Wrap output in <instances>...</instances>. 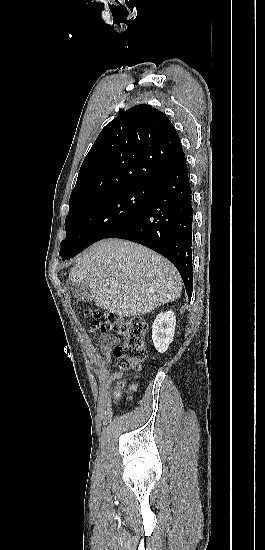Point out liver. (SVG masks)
Returning a JSON list of instances; mask_svg holds the SVG:
<instances>
[{
	"instance_id": "6515ba94",
	"label": "liver",
	"mask_w": 265,
	"mask_h": 550,
	"mask_svg": "<svg viewBox=\"0 0 265 550\" xmlns=\"http://www.w3.org/2000/svg\"><path fill=\"white\" fill-rule=\"evenodd\" d=\"M69 280L87 285L96 306L120 317L150 313L178 299L182 291L180 274L171 262L121 239L101 240L81 253Z\"/></svg>"
}]
</instances>
